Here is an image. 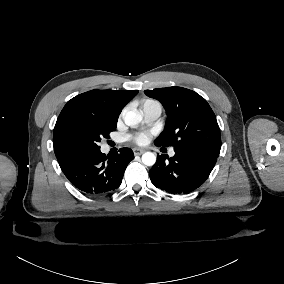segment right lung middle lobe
<instances>
[{
	"label": "right lung middle lobe",
	"instance_id": "dd1d6c3e",
	"mask_svg": "<svg viewBox=\"0 0 284 284\" xmlns=\"http://www.w3.org/2000/svg\"><path fill=\"white\" fill-rule=\"evenodd\" d=\"M117 124L107 123L92 114L73 110L62 120L61 133L64 140L78 153L99 150L101 139L109 138V133Z\"/></svg>",
	"mask_w": 284,
	"mask_h": 284
}]
</instances>
